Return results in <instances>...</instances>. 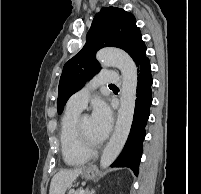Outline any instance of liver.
<instances>
[{
  "instance_id": "obj_1",
  "label": "liver",
  "mask_w": 201,
  "mask_h": 194,
  "mask_svg": "<svg viewBox=\"0 0 201 194\" xmlns=\"http://www.w3.org/2000/svg\"><path fill=\"white\" fill-rule=\"evenodd\" d=\"M84 167L61 170L54 175L50 183L49 194H65L66 190L82 173Z\"/></svg>"
}]
</instances>
